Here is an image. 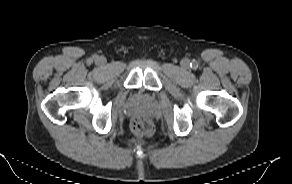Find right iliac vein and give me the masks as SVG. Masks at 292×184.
<instances>
[{"instance_id": "right-iliac-vein-1", "label": "right iliac vein", "mask_w": 292, "mask_h": 184, "mask_svg": "<svg viewBox=\"0 0 292 184\" xmlns=\"http://www.w3.org/2000/svg\"><path fill=\"white\" fill-rule=\"evenodd\" d=\"M97 62H98L99 64H103V63H104V59H103V58H98V59H97Z\"/></svg>"}]
</instances>
